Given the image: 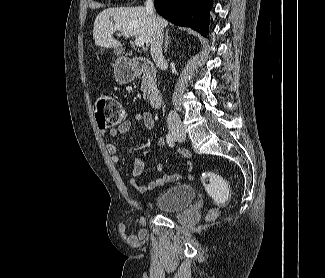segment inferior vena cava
<instances>
[{"label":"inferior vena cava","instance_id":"obj_1","mask_svg":"<svg viewBox=\"0 0 325 278\" xmlns=\"http://www.w3.org/2000/svg\"><path fill=\"white\" fill-rule=\"evenodd\" d=\"M147 13L152 19L153 22V37L151 41L150 52L151 56L157 66H162L166 63L163 53H162V44H163V28L160 27L156 20V15L154 13V2L153 0H147L145 4ZM168 123L179 124L180 118L175 111H170L167 118Z\"/></svg>","mask_w":325,"mask_h":278}]
</instances>
